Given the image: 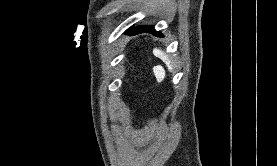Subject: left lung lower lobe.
<instances>
[{"instance_id": "1", "label": "left lung lower lobe", "mask_w": 277, "mask_h": 166, "mask_svg": "<svg viewBox=\"0 0 277 166\" xmlns=\"http://www.w3.org/2000/svg\"><path fill=\"white\" fill-rule=\"evenodd\" d=\"M144 32H150L156 36H162L159 32H156L154 30V27H152V26H144V27L134 28L133 30L128 31V35H136V34L144 33Z\"/></svg>"}]
</instances>
